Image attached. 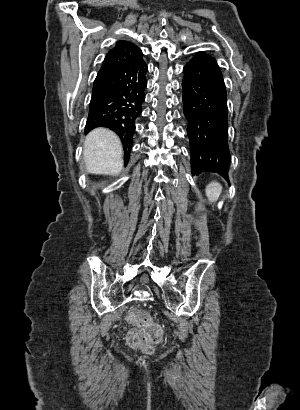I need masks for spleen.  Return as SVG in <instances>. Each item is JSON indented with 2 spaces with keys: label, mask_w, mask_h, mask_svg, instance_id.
Here are the masks:
<instances>
[{
  "label": "spleen",
  "mask_w": 300,
  "mask_h": 410,
  "mask_svg": "<svg viewBox=\"0 0 300 410\" xmlns=\"http://www.w3.org/2000/svg\"><path fill=\"white\" fill-rule=\"evenodd\" d=\"M222 192V186L218 182H211L206 187V196L210 202H214L218 199Z\"/></svg>",
  "instance_id": "obj_1"
}]
</instances>
